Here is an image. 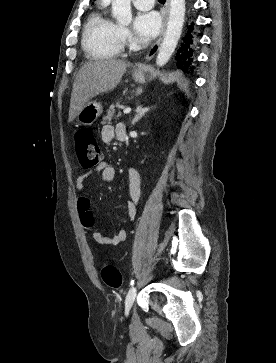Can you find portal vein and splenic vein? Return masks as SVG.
<instances>
[{
	"mask_svg": "<svg viewBox=\"0 0 276 363\" xmlns=\"http://www.w3.org/2000/svg\"><path fill=\"white\" fill-rule=\"evenodd\" d=\"M131 112V108L130 107H127V108H124L123 109V113L124 114H129Z\"/></svg>",
	"mask_w": 276,
	"mask_h": 363,
	"instance_id": "portal-vein-and-splenic-vein-1",
	"label": "portal vein and splenic vein"
}]
</instances>
